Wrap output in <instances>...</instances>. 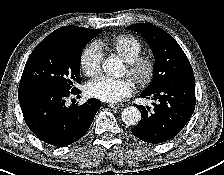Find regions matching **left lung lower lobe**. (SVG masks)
I'll return each mask as SVG.
<instances>
[{
    "label": "left lung lower lobe",
    "mask_w": 224,
    "mask_h": 175,
    "mask_svg": "<svg viewBox=\"0 0 224 175\" xmlns=\"http://www.w3.org/2000/svg\"><path fill=\"white\" fill-rule=\"evenodd\" d=\"M141 97L155 100L154 108L150 111L148 106L136 105L142 116L132 134L147 143H164L183 129L194 112V80L168 82L152 91L142 92Z\"/></svg>",
    "instance_id": "left-lung-lower-lobe-1"
}]
</instances>
